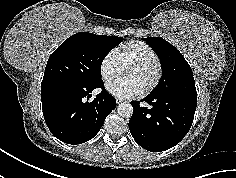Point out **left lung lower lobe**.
<instances>
[{
	"label": "left lung lower lobe",
	"instance_id": "0a47b994",
	"mask_svg": "<svg viewBox=\"0 0 236 178\" xmlns=\"http://www.w3.org/2000/svg\"><path fill=\"white\" fill-rule=\"evenodd\" d=\"M143 101L151 108L132 101L133 115L129 121L135 141L151 152H161L178 144L189 131L196 110L197 97L152 95Z\"/></svg>",
	"mask_w": 236,
	"mask_h": 178
}]
</instances>
